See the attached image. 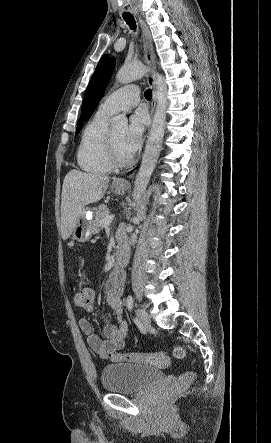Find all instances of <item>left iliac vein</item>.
Instances as JSON below:
<instances>
[{"label":"left iliac vein","mask_w":271,"mask_h":443,"mask_svg":"<svg viewBox=\"0 0 271 443\" xmlns=\"http://www.w3.org/2000/svg\"><path fill=\"white\" fill-rule=\"evenodd\" d=\"M137 317L139 318L140 324L143 328H149L151 319L149 314L142 308L137 309Z\"/></svg>","instance_id":"left-iliac-vein-1"}]
</instances>
